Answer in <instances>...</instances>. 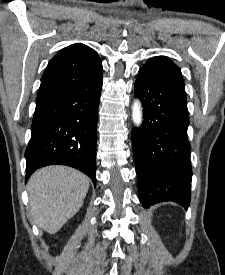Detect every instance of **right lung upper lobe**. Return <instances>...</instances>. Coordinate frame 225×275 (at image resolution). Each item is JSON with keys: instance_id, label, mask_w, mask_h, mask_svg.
Returning <instances> with one entry per match:
<instances>
[{"instance_id": "obj_1", "label": "right lung upper lobe", "mask_w": 225, "mask_h": 275, "mask_svg": "<svg viewBox=\"0 0 225 275\" xmlns=\"http://www.w3.org/2000/svg\"><path fill=\"white\" fill-rule=\"evenodd\" d=\"M101 75L102 63L97 53L84 44H72L49 61L36 100L66 91L91 89Z\"/></svg>"}]
</instances>
